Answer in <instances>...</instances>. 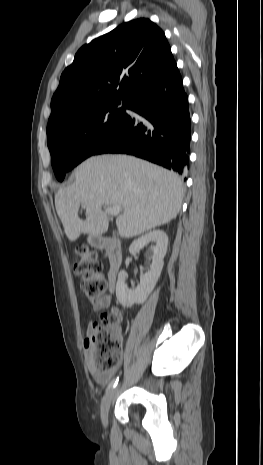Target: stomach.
<instances>
[{"label":"stomach","mask_w":263,"mask_h":465,"mask_svg":"<svg viewBox=\"0 0 263 465\" xmlns=\"http://www.w3.org/2000/svg\"><path fill=\"white\" fill-rule=\"evenodd\" d=\"M88 241H89L90 244H94L96 240H95L94 236H89Z\"/></svg>","instance_id":"stomach-1"}]
</instances>
